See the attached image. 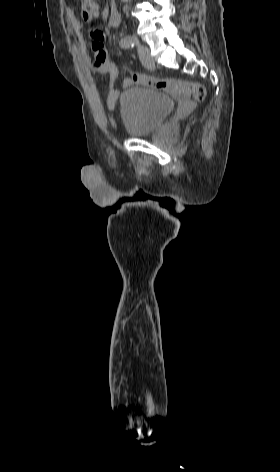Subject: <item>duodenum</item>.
<instances>
[{"mask_svg": "<svg viewBox=\"0 0 280 472\" xmlns=\"http://www.w3.org/2000/svg\"><path fill=\"white\" fill-rule=\"evenodd\" d=\"M108 22H109V25L112 27H117L120 24L121 15L116 9L114 8L111 9L109 13V17H108Z\"/></svg>", "mask_w": 280, "mask_h": 472, "instance_id": "obj_1", "label": "duodenum"}]
</instances>
